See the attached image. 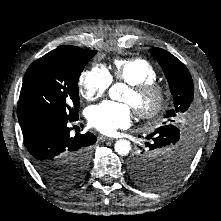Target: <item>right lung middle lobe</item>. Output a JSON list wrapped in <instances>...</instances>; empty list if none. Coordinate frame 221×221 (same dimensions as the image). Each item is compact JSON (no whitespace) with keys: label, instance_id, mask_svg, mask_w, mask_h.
I'll list each match as a JSON object with an SVG mask.
<instances>
[{"label":"right lung middle lobe","instance_id":"1","mask_svg":"<svg viewBox=\"0 0 221 221\" xmlns=\"http://www.w3.org/2000/svg\"><path fill=\"white\" fill-rule=\"evenodd\" d=\"M96 50L76 54L47 53L33 62L26 71L21 88L17 116L24 118L51 113L75 117L79 110L78 80L84 66ZM90 146L66 155L63 162L47 167L41 175L58 187H69L83 180L88 166Z\"/></svg>","mask_w":221,"mask_h":221}]
</instances>
